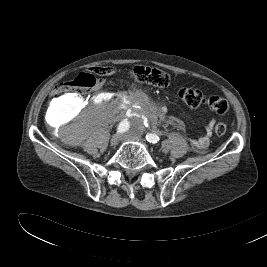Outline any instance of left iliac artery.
<instances>
[{
    "mask_svg": "<svg viewBox=\"0 0 267 267\" xmlns=\"http://www.w3.org/2000/svg\"><path fill=\"white\" fill-rule=\"evenodd\" d=\"M145 138L148 142L152 144H156L160 140L159 136H157L156 134H152V133H148Z\"/></svg>",
    "mask_w": 267,
    "mask_h": 267,
    "instance_id": "left-iliac-artery-1",
    "label": "left iliac artery"
}]
</instances>
